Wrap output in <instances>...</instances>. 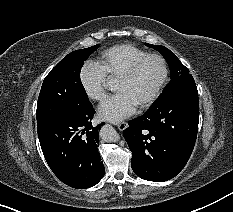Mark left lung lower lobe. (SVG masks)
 I'll return each instance as SVG.
<instances>
[{"instance_id":"obj_1","label":"left lung lower lobe","mask_w":233,"mask_h":212,"mask_svg":"<svg viewBox=\"0 0 233 212\" xmlns=\"http://www.w3.org/2000/svg\"><path fill=\"white\" fill-rule=\"evenodd\" d=\"M198 123L199 99L194 94L156 100L143 116L129 121L123 135L134 173L156 182L175 177L190 158Z\"/></svg>"}]
</instances>
